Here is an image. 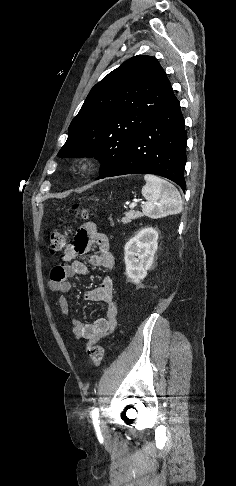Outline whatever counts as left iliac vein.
<instances>
[{
    "label": "left iliac vein",
    "instance_id": "1",
    "mask_svg": "<svg viewBox=\"0 0 236 486\" xmlns=\"http://www.w3.org/2000/svg\"><path fill=\"white\" fill-rule=\"evenodd\" d=\"M101 429H102L103 432L105 431V424H104V422H101Z\"/></svg>",
    "mask_w": 236,
    "mask_h": 486
}]
</instances>
